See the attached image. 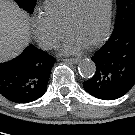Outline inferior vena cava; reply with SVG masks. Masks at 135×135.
<instances>
[{
	"label": "inferior vena cava",
	"instance_id": "1",
	"mask_svg": "<svg viewBox=\"0 0 135 135\" xmlns=\"http://www.w3.org/2000/svg\"><path fill=\"white\" fill-rule=\"evenodd\" d=\"M41 48L48 50V49H53L58 47V41L55 38L48 37L41 41L39 44Z\"/></svg>",
	"mask_w": 135,
	"mask_h": 135
}]
</instances>
